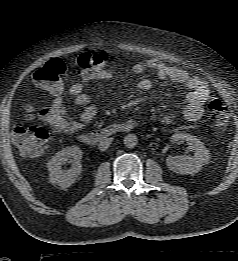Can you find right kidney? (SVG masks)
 <instances>
[{"instance_id":"right-kidney-1","label":"right kidney","mask_w":238,"mask_h":261,"mask_svg":"<svg viewBox=\"0 0 238 261\" xmlns=\"http://www.w3.org/2000/svg\"><path fill=\"white\" fill-rule=\"evenodd\" d=\"M81 159L82 151L77 146H70L56 153L47 163L50 183L62 188L71 186L82 172ZM67 162H71L72 167L62 170V165Z\"/></svg>"}]
</instances>
